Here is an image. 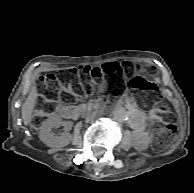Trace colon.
<instances>
[{
  "mask_svg": "<svg viewBox=\"0 0 194 193\" xmlns=\"http://www.w3.org/2000/svg\"><path fill=\"white\" fill-rule=\"evenodd\" d=\"M141 71L142 67L139 65L109 62L96 67L68 68L58 74L46 73L39 82V101L33 125L41 126L49 113L56 111L61 103H67L71 95L77 93V89L71 83L79 73L89 75L94 79L103 76L112 77L116 81L113 85L116 90L121 88L118 82L127 76L131 92L144 108L150 109L155 148L165 149L173 142L177 127L171 121L169 108L159 105L162 97L158 85L141 75Z\"/></svg>",
  "mask_w": 194,
  "mask_h": 193,
  "instance_id": "5ec220e1",
  "label": "colon"
}]
</instances>
